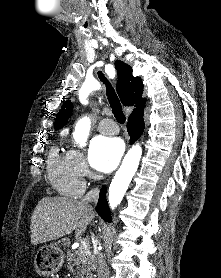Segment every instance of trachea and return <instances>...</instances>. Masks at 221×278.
I'll list each match as a JSON object with an SVG mask.
<instances>
[{"label": "trachea", "mask_w": 221, "mask_h": 278, "mask_svg": "<svg viewBox=\"0 0 221 278\" xmlns=\"http://www.w3.org/2000/svg\"><path fill=\"white\" fill-rule=\"evenodd\" d=\"M98 76H99V79L106 86V94H107V97H108V101H109V104L112 108V112H113L116 120L120 124H125L126 117L123 113L121 103L119 101V98H118L114 88L112 87L110 82L107 80V78L104 76V74L101 71L98 72Z\"/></svg>", "instance_id": "3493384b"}]
</instances>
